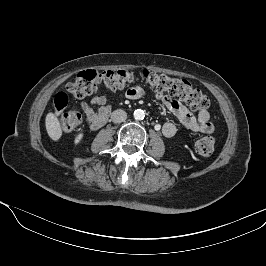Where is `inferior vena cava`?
Listing matches in <instances>:
<instances>
[{"label":"inferior vena cava","mask_w":266,"mask_h":266,"mask_svg":"<svg viewBox=\"0 0 266 266\" xmlns=\"http://www.w3.org/2000/svg\"><path fill=\"white\" fill-rule=\"evenodd\" d=\"M127 119V113L124 110L118 109L112 112L111 120L114 123H121Z\"/></svg>","instance_id":"602c4592"}]
</instances>
